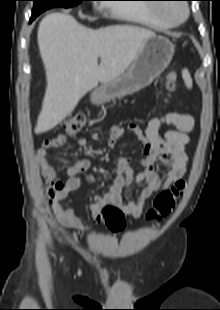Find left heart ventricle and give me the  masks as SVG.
Returning <instances> with one entry per match:
<instances>
[{
  "label": "left heart ventricle",
  "instance_id": "b2bd125f",
  "mask_svg": "<svg viewBox=\"0 0 220 310\" xmlns=\"http://www.w3.org/2000/svg\"><path fill=\"white\" fill-rule=\"evenodd\" d=\"M164 14L172 18H178L182 14V8L178 5L171 4L164 7Z\"/></svg>",
  "mask_w": 220,
  "mask_h": 310
}]
</instances>
